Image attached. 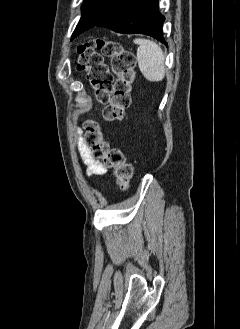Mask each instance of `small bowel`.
Masks as SVG:
<instances>
[{
    "instance_id": "1",
    "label": "small bowel",
    "mask_w": 240,
    "mask_h": 329,
    "mask_svg": "<svg viewBox=\"0 0 240 329\" xmlns=\"http://www.w3.org/2000/svg\"><path fill=\"white\" fill-rule=\"evenodd\" d=\"M78 133V149L82 163L86 167L89 176L102 175L107 171L106 166L98 159L94 158L90 149L85 145L82 137V129L77 130Z\"/></svg>"
}]
</instances>
